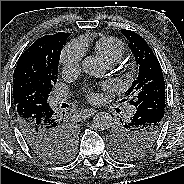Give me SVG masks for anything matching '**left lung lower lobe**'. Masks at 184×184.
<instances>
[{
  "instance_id": "0a47b994",
  "label": "left lung lower lobe",
  "mask_w": 184,
  "mask_h": 184,
  "mask_svg": "<svg viewBox=\"0 0 184 184\" xmlns=\"http://www.w3.org/2000/svg\"><path fill=\"white\" fill-rule=\"evenodd\" d=\"M136 109L135 115L130 120V124L133 126L159 124L163 122L165 113V95H155L141 103ZM160 132L161 130H159ZM159 133L154 137L155 141L159 137Z\"/></svg>"
}]
</instances>
